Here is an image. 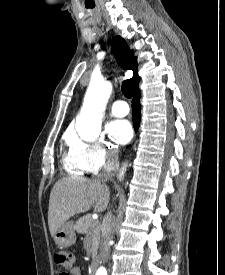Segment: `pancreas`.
Masks as SVG:
<instances>
[{"mask_svg": "<svg viewBox=\"0 0 225 275\" xmlns=\"http://www.w3.org/2000/svg\"><path fill=\"white\" fill-rule=\"evenodd\" d=\"M74 229L80 234H86L92 241L91 252L97 247L100 236V224L98 221L93 220L90 214H87L75 223Z\"/></svg>", "mask_w": 225, "mask_h": 275, "instance_id": "pancreas-1", "label": "pancreas"}]
</instances>
